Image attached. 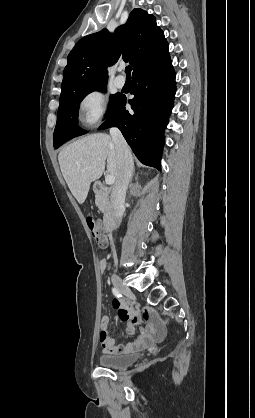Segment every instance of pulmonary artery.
Instances as JSON below:
<instances>
[{"mask_svg": "<svg viewBox=\"0 0 255 418\" xmlns=\"http://www.w3.org/2000/svg\"><path fill=\"white\" fill-rule=\"evenodd\" d=\"M125 82H126L125 77H124V76H122V75H118V76L115 78V84H116V86H117V87H119V88H122V87L125 85Z\"/></svg>", "mask_w": 255, "mask_h": 418, "instance_id": "pulmonary-artery-1", "label": "pulmonary artery"}]
</instances>
